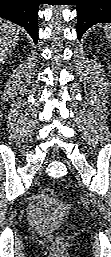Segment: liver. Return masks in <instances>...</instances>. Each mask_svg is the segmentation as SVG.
Wrapping results in <instances>:
<instances>
[{
    "mask_svg": "<svg viewBox=\"0 0 111 257\" xmlns=\"http://www.w3.org/2000/svg\"><path fill=\"white\" fill-rule=\"evenodd\" d=\"M20 27L10 23L9 21H2L0 25V58L5 59L8 54L18 44Z\"/></svg>",
    "mask_w": 111,
    "mask_h": 257,
    "instance_id": "6515ba94",
    "label": "liver"
}]
</instances>
